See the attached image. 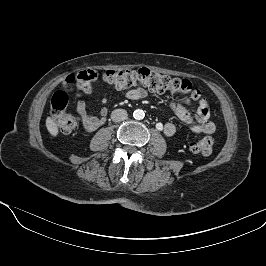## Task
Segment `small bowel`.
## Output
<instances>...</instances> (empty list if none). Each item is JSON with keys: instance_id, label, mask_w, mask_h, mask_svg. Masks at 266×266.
Segmentation results:
<instances>
[{"instance_id": "1", "label": "small bowel", "mask_w": 266, "mask_h": 266, "mask_svg": "<svg viewBox=\"0 0 266 266\" xmlns=\"http://www.w3.org/2000/svg\"><path fill=\"white\" fill-rule=\"evenodd\" d=\"M146 90L143 88L131 89L127 92V97L131 100H139L146 96ZM108 99L103 96L100 99L102 104H106ZM190 105L188 100L183 101ZM170 107L180 121L189 126L195 133L212 134L215 131V125L210 120V111L208 106L198 107L195 114H191L181 103L171 102ZM77 112L81 118L83 128L87 132L97 130L104 122L107 115V109L102 108L99 116H95L89 112L87 103L79 100L76 106ZM163 132L166 136L171 137L176 132V127L173 123L167 122L163 126Z\"/></svg>"}]
</instances>
